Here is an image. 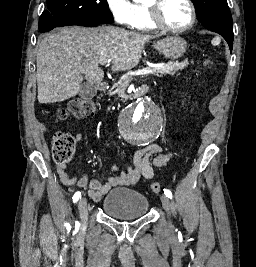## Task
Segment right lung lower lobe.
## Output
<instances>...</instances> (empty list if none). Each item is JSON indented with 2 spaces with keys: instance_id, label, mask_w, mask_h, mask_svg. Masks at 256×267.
<instances>
[{
  "instance_id": "98d812e1",
  "label": "right lung lower lobe",
  "mask_w": 256,
  "mask_h": 267,
  "mask_svg": "<svg viewBox=\"0 0 256 267\" xmlns=\"http://www.w3.org/2000/svg\"><path fill=\"white\" fill-rule=\"evenodd\" d=\"M70 25H79V26H85V27H95L99 25V23H86V22H75V23H69L65 26H70Z\"/></svg>"
}]
</instances>
